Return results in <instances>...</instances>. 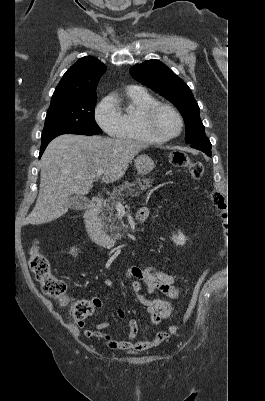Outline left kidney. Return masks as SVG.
I'll use <instances>...</instances> for the list:
<instances>
[{
    "label": "left kidney",
    "mask_w": 265,
    "mask_h": 401,
    "mask_svg": "<svg viewBox=\"0 0 265 401\" xmlns=\"http://www.w3.org/2000/svg\"><path fill=\"white\" fill-rule=\"evenodd\" d=\"M172 241H173V243H175V245H185V243H186V241H188V239H186V237H184V235H182V233H179V235H173Z\"/></svg>",
    "instance_id": "5707ae66"
}]
</instances>
